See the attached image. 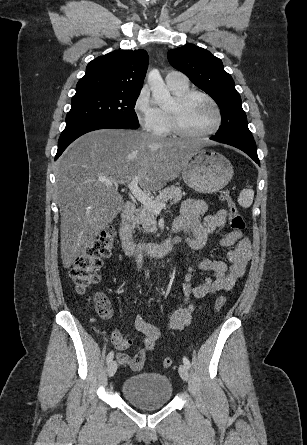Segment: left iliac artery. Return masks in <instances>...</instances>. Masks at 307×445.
<instances>
[{
	"mask_svg": "<svg viewBox=\"0 0 307 445\" xmlns=\"http://www.w3.org/2000/svg\"><path fill=\"white\" fill-rule=\"evenodd\" d=\"M183 363L184 365L189 369L191 367L190 361L188 358L184 357L183 358Z\"/></svg>",
	"mask_w": 307,
	"mask_h": 445,
	"instance_id": "obj_1",
	"label": "left iliac artery"
}]
</instances>
